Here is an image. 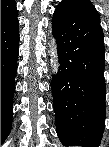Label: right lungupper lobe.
Listing matches in <instances>:
<instances>
[{"mask_svg":"<svg viewBox=\"0 0 109 147\" xmlns=\"http://www.w3.org/2000/svg\"><path fill=\"white\" fill-rule=\"evenodd\" d=\"M18 11L14 0H1V24L16 17Z\"/></svg>","mask_w":109,"mask_h":147,"instance_id":"cb5924a9","label":"right lung upper lobe"}]
</instances>
